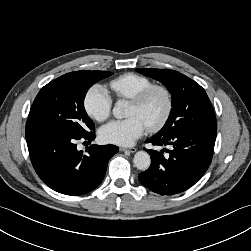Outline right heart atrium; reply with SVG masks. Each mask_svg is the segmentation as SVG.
<instances>
[{
    "mask_svg": "<svg viewBox=\"0 0 251 251\" xmlns=\"http://www.w3.org/2000/svg\"><path fill=\"white\" fill-rule=\"evenodd\" d=\"M83 105L90 118L101 122L106 120L111 113L112 98L102 85L95 84L87 90Z\"/></svg>",
    "mask_w": 251,
    "mask_h": 251,
    "instance_id": "1",
    "label": "right heart atrium"
}]
</instances>
